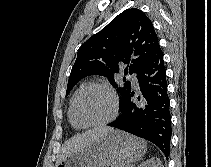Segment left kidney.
<instances>
[{
  "label": "left kidney",
  "instance_id": "1",
  "mask_svg": "<svg viewBox=\"0 0 211 167\" xmlns=\"http://www.w3.org/2000/svg\"><path fill=\"white\" fill-rule=\"evenodd\" d=\"M139 167H163V165L159 159L152 158L142 163Z\"/></svg>",
  "mask_w": 211,
  "mask_h": 167
}]
</instances>
